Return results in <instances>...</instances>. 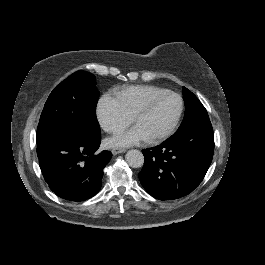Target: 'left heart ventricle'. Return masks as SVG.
<instances>
[{"label":"left heart ventricle","instance_id":"left-heart-ventricle-1","mask_svg":"<svg viewBox=\"0 0 265 265\" xmlns=\"http://www.w3.org/2000/svg\"><path fill=\"white\" fill-rule=\"evenodd\" d=\"M179 109V100L168 94L157 96L150 106L139 116L135 123L152 137L169 125L176 117Z\"/></svg>","mask_w":265,"mask_h":265}]
</instances>
